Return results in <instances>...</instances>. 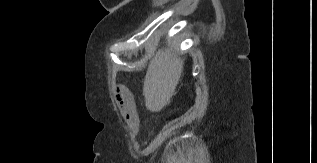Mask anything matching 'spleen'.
<instances>
[{
    "mask_svg": "<svg viewBox=\"0 0 317 163\" xmlns=\"http://www.w3.org/2000/svg\"><path fill=\"white\" fill-rule=\"evenodd\" d=\"M183 70V60L169 50H159L150 61L143 94L151 111L161 110L175 92Z\"/></svg>",
    "mask_w": 317,
    "mask_h": 163,
    "instance_id": "obj_1",
    "label": "spleen"
}]
</instances>
